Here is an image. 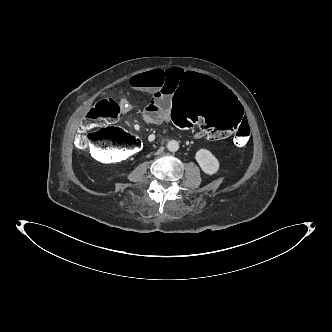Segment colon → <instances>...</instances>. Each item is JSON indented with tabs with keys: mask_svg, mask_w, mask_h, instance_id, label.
Masks as SVG:
<instances>
[{
	"mask_svg": "<svg viewBox=\"0 0 332 332\" xmlns=\"http://www.w3.org/2000/svg\"><path fill=\"white\" fill-rule=\"evenodd\" d=\"M120 109V103L113 98L101 100L89 110L83 122L85 134L78 142L88 146L95 158L103 163L133 157L141 144L137 136L122 129L104 130L105 124L119 116ZM242 116L243 107L238 97L201 73L182 78L171 100L170 117L177 129L187 134L201 133L215 141L234 135L237 147H245L250 138L248 123L240 122Z\"/></svg>",
	"mask_w": 332,
	"mask_h": 332,
	"instance_id": "1",
	"label": "colon"
}]
</instances>
